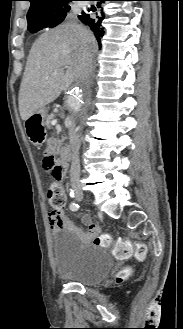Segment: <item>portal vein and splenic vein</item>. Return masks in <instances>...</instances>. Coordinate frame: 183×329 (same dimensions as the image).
Here are the masks:
<instances>
[{
  "label": "portal vein and splenic vein",
  "mask_w": 183,
  "mask_h": 329,
  "mask_svg": "<svg viewBox=\"0 0 183 329\" xmlns=\"http://www.w3.org/2000/svg\"><path fill=\"white\" fill-rule=\"evenodd\" d=\"M51 124L52 125H56L57 124V120L56 119L52 120Z\"/></svg>",
  "instance_id": "18ae733b"
}]
</instances>
